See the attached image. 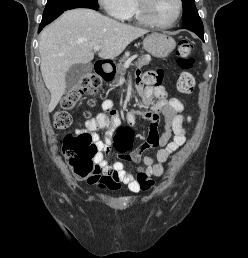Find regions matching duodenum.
Wrapping results in <instances>:
<instances>
[{"instance_id":"duodenum-1","label":"duodenum","mask_w":248,"mask_h":258,"mask_svg":"<svg viewBox=\"0 0 248 258\" xmlns=\"http://www.w3.org/2000/svg\"><path fill=\"white\" fill-rule=\"evenodd\" d=\"M95 74L104 81H110L112 79V70L110 65L103 61V60H98L95 62Z\"/></svg>"}]
</instances>
